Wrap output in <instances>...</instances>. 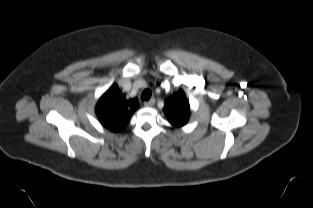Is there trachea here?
<instances>
[{
    "label": "trachea",
    "instance_id": "1",
    "mask_svg": "<svg viewBox=\"0 0 313 208\" xmlns=\"http://www.w3.org/2000/svg\"><path fill=\"white\" fill-rule=\"evenodd\" d=\"M151 98V91L149 89H145L141 94L142 100H149Z\"/></svg>",
    "mask_w": 313,
    "mask_h": 208
}]
</instances>
